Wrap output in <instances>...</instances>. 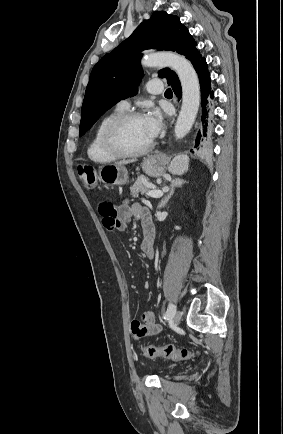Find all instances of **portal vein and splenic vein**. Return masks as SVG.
<instances>
[{"label":"portal vein and splenic vein","mask_w":283,"mask_h":434,"mask_svg":"<svg viewBox=\"0 0 283 434\" xmlns=\"http://www.w3.org/2000/svg\"><path fill=\"white\" fill-rule=\"evenodd\" d=\"M147 195L153 198H160L163 195L162 190H150L147 192Z\"/></svg>","instance_id":"obj_1"}]
</instances>
